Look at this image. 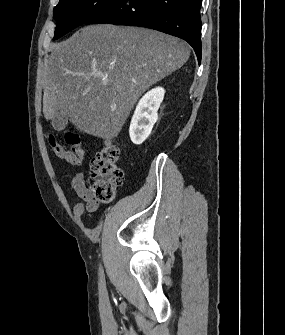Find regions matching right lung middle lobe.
Instances as JSON below:
<instances>
[{
	"instance_id": "dd1d6c3e",
	"label": "right lung middle lobe",
	"mask_w": 285,
	"mask_h": 335,
	"mask_svg": "<svg viewBox=\"0 0 285 335\" xmlns=\"http://www.w3.org/2000/svg\"><path fill=\"white\" fill-rule=\"evenodd\" d=\"M117 0H60L54 8L57 26L53 40H56L90 18L113 5Z\"/></svg>"
}]
</instances>
